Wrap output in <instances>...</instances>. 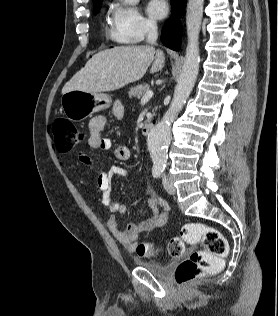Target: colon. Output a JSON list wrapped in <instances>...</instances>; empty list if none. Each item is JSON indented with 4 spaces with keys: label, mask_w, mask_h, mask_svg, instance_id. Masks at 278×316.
<instances>
[{
    "label": "colon",
    "mask_w": 278,
    "mask_h": 316,
    "mask_svg": "<svg viewBox=\"0 0 278 316\" xmlns=\"http://www.w3.org/2000/svg\"><path fill=\"white\" fill-rule=\"evenodd\" d=\"M52 133L59 152H68L86 139L83 130L63 118L54 121ZM186 243H200L202 249L192 252L177 266L175 279L179 286H185L199 277L221 270L228 253V244L218 229L197 222L185 224L180 236L169 241V255L181 257L185 252ZM157 252L150 244H140L137 248V253L141 256H152Z\"/></svg>",
    "instance_id": "colon-1"
}]
</instances>
